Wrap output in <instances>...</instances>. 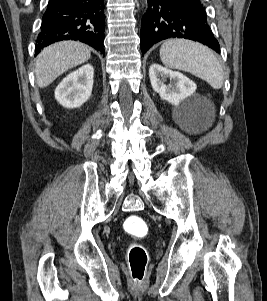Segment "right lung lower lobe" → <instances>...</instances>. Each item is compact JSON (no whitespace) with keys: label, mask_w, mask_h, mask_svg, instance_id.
Instances as JSON below:
<instances>
[{"label":"right lung lower lobe","mask_w":267,"mask_h":301,"mask_svg":"<svg viewBox=\"0 0 267 301\" xmlns=\"http://www.w3.org/2000/svg\"><path fill=\"white\" fill-rule=\"evenodd\" d=\"M104 0H49L36 40V54L49 44L79 40L105 55Z\"/></svg>","instance_id":"1"}]
</instances>
